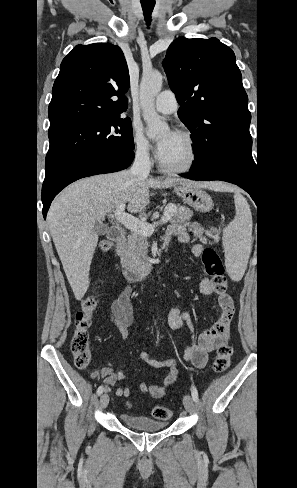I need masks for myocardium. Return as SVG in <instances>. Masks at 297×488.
Instances as JSON below:
<instances>
[{
    "label": "myocardium",
    "mask_w": 297,
    "mask_h": 488,
    "mask_svg": "<svg viewBox=\"0 0 297 488\" xmlns=\"http://www.w3.org/2000/svg\"><path fill=\"white\" fill-rule=\"evenodd\" d=\"M175 134L182 137L188 143V146L190 148V154H191L189 161L183 166L173 167V166H169V165L165 164L161 160V158L158 154L157 155V163H158L159 167L165 172H168V173H185V172L192 170L198 161V157H199L198 146H197L195 139L188 132L177 131Z\"/></svg>",
    "instance_id": "1"
}]
</instances>
